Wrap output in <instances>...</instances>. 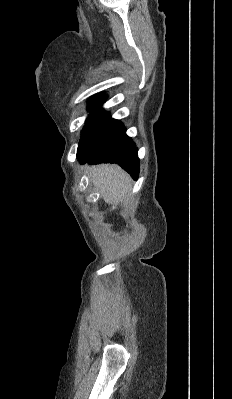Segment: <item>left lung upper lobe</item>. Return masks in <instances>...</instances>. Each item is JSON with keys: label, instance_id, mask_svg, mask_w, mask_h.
<instances>
[{"label": "left lung upper lobe", "instance_id": "obj_1", "mask_svg": "<svg viewBox=\"0 0 232 399\" xmlns=\"http://www.w3.org/2000/svg\"><path fill=\"white\" fill-rule=\"evenodd\" d=\"M106 99L104 95L90 98L87 110L93 113L88 116L82 130L77 149L78 158L102 146L122 125L101 108Z\"/></svg>", "mask_w": 232, "mask_h": 399}]
</instances>
